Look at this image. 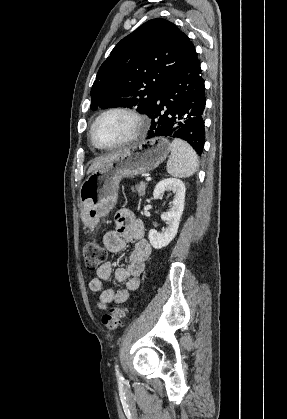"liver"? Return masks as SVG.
<instances>
[{"instance_id": "1", "label": "liver", "mask_w": 287, "mask_h": 419, "mask_svg": "<svg viewBox=\"0 0 287 419\" xmlns=\"http://www.w3.org/2000/svg\"><path fill=\"white\" fill-rule=\"evenodd\" d=\"M122 151L123 150L113 152V153H110V154H107L105 156H101V157L95 159L94 162L89 167L88 173L93 172L94 170H96L97 168H99L100 166L105 164L106 162H108V161L112 160L113 158L117 157Z\"/></svg>"}]
</instances>
